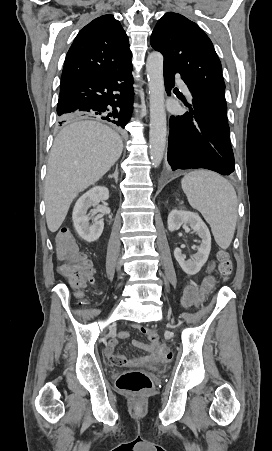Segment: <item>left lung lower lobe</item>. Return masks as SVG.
I'll use <instances>...</instances> for the list:
<instances>
[{
    "instance_id": "obj_1",
    "label": "left lung lower lobe",
    "mask_w": 272,
    "mask_h": 451,
    "mask_svg": "<svg viewBox=\"0 0 272 451\" xmlns=\"http://www.w3.org/2000/svg\"><path fill=\"white\" fill-rule=\"evenodd\" d=\"M166 92L174 86L178 73L163 65ZM193 97L190 112L170 117L168 162L172 170L205 168L222 175L235 170L230 142L227 111L190 89Z\"/></svg>"
}]
</instances>
